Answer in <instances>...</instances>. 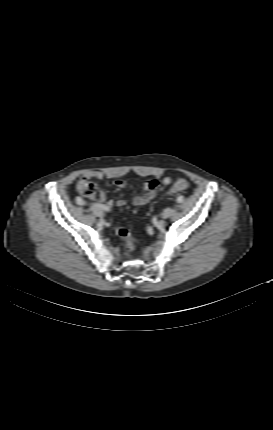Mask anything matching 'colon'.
<instances>
[{"label":"colon","mask_w":273,"mask_h":430,"mask_svg":"<svg viewBox=\"0 0 273 430\" xmlns=\"http://www.w3.org/2000/svg\"><path fill=\"white\" fill-rule=\"evenodd\" d=\"M77 191L84 197H92L97 192V187L89 178L82 177L77 183ZM188 187V183L184 179L177 180L169 191V196L171 198H176L178 194ZM115 231L117 235L124 240L123 250L128 255L131 256L135 250V244L132 239V235L128 229L122 226H116Z\"/></svg>","instance_id":"colon-1"}]
</instances>
